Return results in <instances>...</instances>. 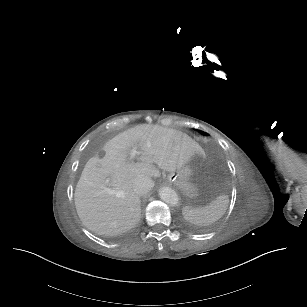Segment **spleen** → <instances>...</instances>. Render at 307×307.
<instances>
[{"mask_svg": "<svg viewBox=\"0 0 307 307\" xmlns=\"http://www.w3.org/2000/svg\"><path fill=\"white\" fill-rule=\"evenodd\" d=\"M229 204V196L221 194L208 205L197 210L194 207H186L183 217L191 223L198 225H209L218 221L225 214Z\"/></svg>", "mask_w": 307, "mask_h": 307, "instance_id": "3e777b00", "label": "spleen"}]
</instances>
